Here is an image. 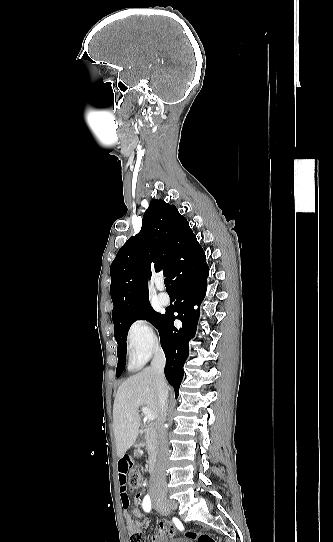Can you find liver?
Masks as SVG:
<instances>
[{"mask_svg":"<svg viewBox=\"0 0 333 542\" xmlns=\"http://www.w3.org/2000/svg\"><path fill=\"white\" fill-rule=\"evenodd\" d=\"M152 368H144L119 386L113 406V432L117 456L123 458L136 442L141 416L140 406L155 412L157 424L160 420L158 392Z\"/></svg>","mask_w":333,"mask_h":542,"instance_id":"1","label":"liver"}]
</instances>
